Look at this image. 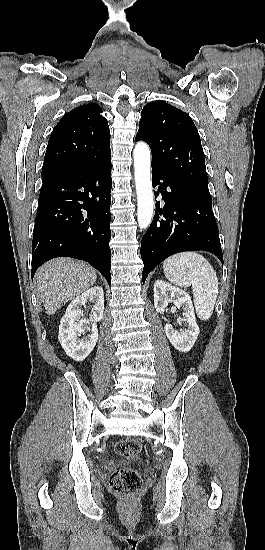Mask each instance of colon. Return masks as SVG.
Listing matches in <instances>:
<instances>
[{
  "instance_id": "colon-1",
  "label": "colon",
  "mask_w": 265,
  "mask_h": 550,
  "mask_svg": "<svg viewBox=\"0 0 265 550\" xmlns=\"http://www.w3.org/2000/svg\"><path fill=\"white\" fill-rule=\"evenodd\" d=\"M114 450L117 455L125 459L136 460L140 454L141 445L135 439L123 440L115 444ZM109 484L116 494L132 497L141 489L142 481L137 471L121 468L112 473Z\"/></svg>"
}]
</instances>
